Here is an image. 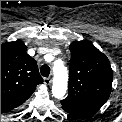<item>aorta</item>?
Returning a JSON list of instances; mask_svg holds the SVG:
<instances>
[{
  "label": "aorta",
  "instance_id": "obj_1",
  "mask_svg": "<svg viewBox=\"0 0 122 122\" xmlns=\"http://www.w3.org/2000/svg\"><path fill=\"white\" fill-rule=\"evenodd\" d=\"M54 79L52 85V94L55 98H63L67 91L68 72L62 62L54 64Z\"/></svg>",
  "mask_w": 122,
  "mask_h": 122
}]
</instances>
